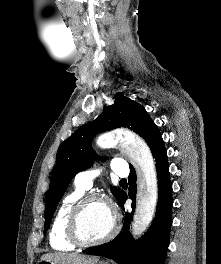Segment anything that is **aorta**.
I'll return each instance as SVG.
<instances>
[{
	"mask_svg": "<svg viewBox=\"0 0 221 264\" xmlns=\"http://www.w3.org/2000/svg\"><path fill=\"white\" fill-rule=\"evenodd\" d=\"M96 143L104 149L119 144L139 171L137 206L131 224V234L136 239L150 225L157 205L158 184L152 153L142 140L131 135L103 134Z\"/></svg>",
	"mask_w": 221,
	"mask_h": 264,
	"instance_id": "obj_1",
	"label": "aorta"
}]
</instances>
